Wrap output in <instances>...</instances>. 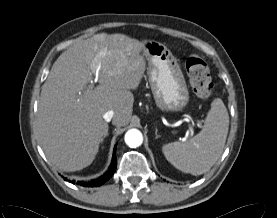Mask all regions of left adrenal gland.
<instances>
[{"mask_svg": "<svg viewBox=\"0 0 277 218\" xmlns=\"http://www.w3.org/2000/svg\"><path fill=\"white\" fill-rule=\"evenodd\" d=\"M155 134H156V138H158V137H159V135L157 134V129H156V131H155Z\"/></svg>", "mask_w": 277, "mask_h": 218, "instance_id": "a2214340", "label": "left adrenal gland"}]
</instances>
